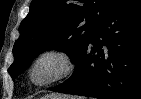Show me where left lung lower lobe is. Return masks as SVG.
<instances>
[{"label":"left lung lower lobe","mask_w":141,"mask_h":99,"mask_svg":"<svg viewBox=\"0 0 141 99\" xmlns=\"http://www.w3.org/2000/svg\"><path fill=\"white\" fill-rule=\"evenodd\" d=\"M50 90L141 99V0H117L93 32L72 76Z\"/></svg>","instance_id":"left-lung-lower-lobe-1"}]
</instances>
